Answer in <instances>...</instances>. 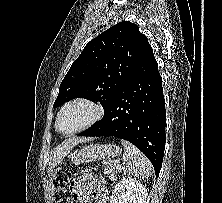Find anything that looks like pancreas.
Here are the masks:
<instances>
[{
	"instance_id": "obj_1",
	"label": "pancreas",
	"mask_w": 222,
	"mask_h": 203,
	"mask_svg": "<svg viewBox=\"0 0 222 203\" xmlns=\"http://www.w3.org/2000/svg\"><path fill=\"white\" fill-rule=\"evenodd\" d=\"M116 162H119V161L112 160L104 164V173L112 180L116 179V176L119 170Z\"/></svg>"
}]
</instances>
